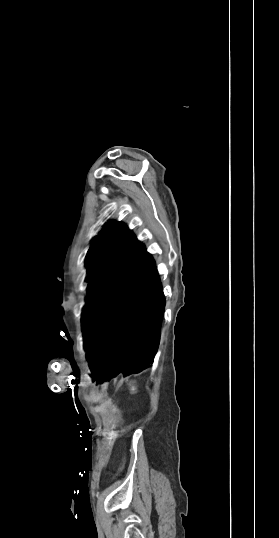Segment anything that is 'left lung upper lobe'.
<instances>
[{
	"mask_svg": "<svg viewBox=\"0 0 279 538\" xmlns=\"http://www.w3.org/2000/svg\"><path fill=\"white\" fill-rule=\"evenodd\" d=\"M140 246L133 232L116 221H110L94 238L86 260L88 304Z\"/></svg>",
	"mask_w": 279,
	"mask_h": 538,
	"instance_id": "1",
	"label": "left lung upper lobe"
}]
</instances>
